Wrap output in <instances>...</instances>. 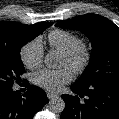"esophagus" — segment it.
<instances>
[{
	"label": "esophagus",
	"mask_w": 119,
	"mask_h": 119,
	"mask_svg": "<svg viewBox=\"0 0 119 119\" xmlns=\"http://www.w3.org/2000/svg\"><path fill=\"white\" fill-rule=\"evenodd\" d=\"M47 97L48 99H53L54 97H57V95L52 92H47Z\"/></svg>",
	"instance_id": "esophagus-1"
}]
</instances>
